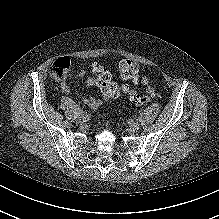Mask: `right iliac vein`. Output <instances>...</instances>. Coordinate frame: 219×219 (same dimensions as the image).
<instances>
[{"mask_svg": "<svg viewBox=\"0 0 219 219\" xmlns=\"http://www.w3.org/2000/svg\"><path fill=\"white\" fill-rule=\"evenodd\" d=\"M77 120L79 122H84L86 120V114L85 113H79L77 116Z\"/></svg>", "mask_w": 219, "mask_h": 219, "instance_id": "1", "label": "right iliac vein"}]
</instances>
